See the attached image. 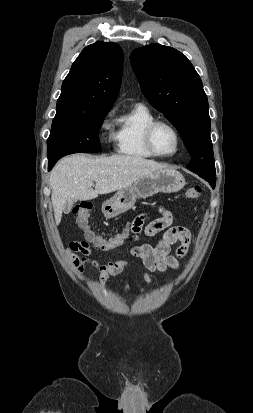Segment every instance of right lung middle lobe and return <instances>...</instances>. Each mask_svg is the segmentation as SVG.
Masks as SVG:
<instances>
[{
	"label": "right lung middle lobe",
	"mask_w": 253,
	"mask_h": 413,
	"mask_svg": "<svg viewBox=\"0 0 253 413\" xmlns=\"http://www.w3.org/2000/svg\"><path fill=\"white\" fill-rule=\"evenodd\" d=\"M109 111L55 117L47 140L48 162L78 152H100L98 131Z\"/></svg>",
	"instance_id": "dd1d6c3e"
}]
</instances>
